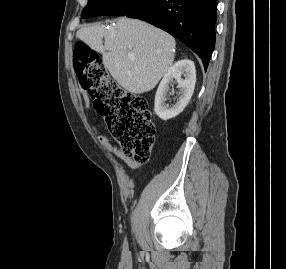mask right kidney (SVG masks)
Returning a JSON list of instances; mask_svg holds the SVG:
<instances>
[{"label": "right kidney", "mask_w": 286, "mask_h": 269, "mask_svg": "<svg viewBox=\"0 0 286 269\" xmlns=\"http://www.w3.org/2000/svg\"><path fill=\"white\" fill-rule=\"evenodd\" d=\"M184 76V79L182 78ZM175 79L181 88L178 101L168 107L165 104L168 85ZM196 70L193 61L184 59L176 62L164 75L155 95V113L162 120H168L179 115L189 103L195 88Z\"/></svg>", "instance_id": "ca27d5eb"}]
</instances>
